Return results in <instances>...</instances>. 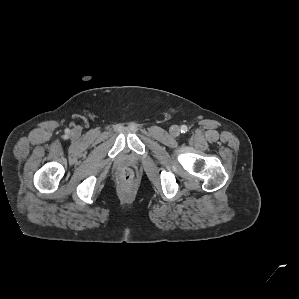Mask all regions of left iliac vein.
Segmentation results:
<instances>
[{
  "label": "left iliac vein",
  "mask_w": 299,
  "mask_h": 299,
  "mask_svg": "<svg viewBox=\"0 0 299 299\" xmlns=\"http://www.w3.org/2000/svg\"><path fill=\"white\" fill-rule=\"evenodd\" d=\"M170 133L171 135L173 136H178L180 134V128L177 126V125H173L171 128H170Z\"/></svg>",
  "instance_id": "obj_1"
}]
</instances>
